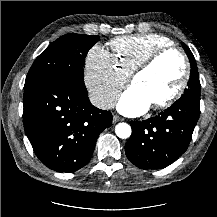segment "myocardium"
Here are the masks:
<instances>
[{
	"label": "myocardium",
	"mask_w": 217,
	"mask_h": 217,
	"mask_svg": "<svg viewBox=\"0 0 217 217\" xmlns=\"http://www.w3.org/2000/svg\"><path fill=\"white\" fill-rule=\"evenodd\" d=\"M172 53L177 54L182 60L183 63L182 78L177 89L171 95H169L163 100H160L152 104V107L155 109H163L171 106L186 91L190 79L191 68H190L189 59L185 54V52L182 49L175 46H166L161 49H158L153 54H151L146 60H144L141 64H139L130 75V84L133 85L135 79L139 75L148 71L160 58Z\"/></svg>",
	"instance_id": "obj_1"
}]
</instances>
